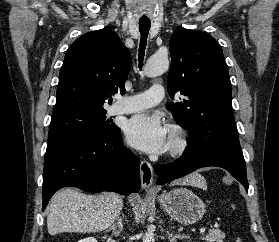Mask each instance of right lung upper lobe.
Segmentation results:
<instances>
[{
	"instance_id": "1",
	"label": "right lung upper lobe",
	"mask_w": 279,
	"mask_h": 242,
	"mask_svg": "<svg viewBox=\"0 0 279 242\" xmlns=\"http://www.w3.org/2000/svg\"><path fill=\"white\" fill-rule=\"evenodd\" d=\"M131 67L130 51L117 34L104 28L88 32L68 48L53 114L73 110L102 111L106 100L124 92Z\"/></svg>"
}]
</instances>
